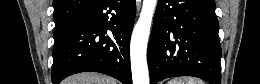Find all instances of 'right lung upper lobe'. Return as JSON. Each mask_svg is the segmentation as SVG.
Listing matches in <instances>:
<instances>
[{"instance_id":"cb5924a9","label":"right lung upper lobe","mask_w":260,"mask_h":84,"mask_svg":"<svg viewBox=\"0 0 260 84\" xmlns=\"http://www.w3.org/2000/svg\"><path fill=\"white\" fill-rule=\"evenodd\" d=\"M97 0H54V21L56 28L91 7Z\"/></svg>"}]
</instances>
